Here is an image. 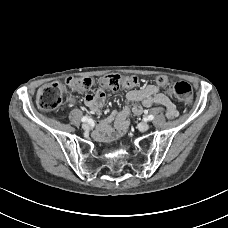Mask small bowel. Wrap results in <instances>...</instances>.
I'll use <instances>...</instances> for the list:
<instances>
[{"label": "small bowel", "mask_w": 228, "mask_h": 228, "mask_svg": "<svg viewBox=\"0 0 228 228\" xmlns=\"http://www.w3.org/2000/svg\"><path fill=\"white\" fill-rule=\"evenodd\" d=\"M126 100L127 105L120 112L114 111L100 121L96 134L99 138L109 139L123 134L129 125V115H141L143 107L162 105L166 108V115L169 119L178 116L176 106L156 85H146L140 89L129 90L126 93ZM104 103L105 94L100 89H97L95 94L84 97V104L97 116L101 114Z\"/></svg>", "instance_id": "c3829d8e"}]
</instances>
